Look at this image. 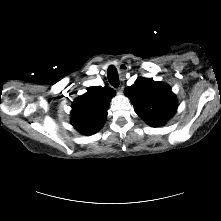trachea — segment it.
Masks as SVG:
<instances>
[{"mask_svg":"<svg viewBox=\"0 0 221 221\" xmlns=\"http://www.w3.org/2000/svg\"><path fill=\"white\" fill-rule=\"evenodd\" d=\"M108 80L110 82V84L114 87H118L119 86V76H118V72L117 69L114 66H110L108 68Z\"/></svg>","mask_w":221,"mask_h":221,"instance_id":"trachea-1","label":"trachea"}]
</instances>
